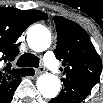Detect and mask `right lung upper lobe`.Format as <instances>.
Here are the masks:
<instances>
[{
  "label": "right lung upper lobe",
  "mask_w": 103,
  "mask_h": 103,
  "mask_svg": "<svg viewBox=\"0 0 103 103\" xmlns=\"http://www.w3.org/2000/svg\"><path fill=\"white\" fill-rule=\"evenodd\" d=\"M46 18L47 15L38 10L0 8V88L3 85L8 87L24 75V69H13L11 67V61L19 53L16 40L29 25Z\"/></svg>",
  "instance_id": "cb5924a9"
}]
</instances>
